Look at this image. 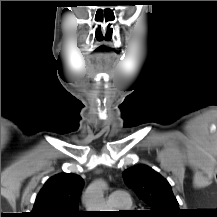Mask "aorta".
<instances>
[{"mask_svg": "<svg viewBox=\"0 0 217 217\" xmlns=\"http://www.w3.org/2000/svg\"><path fill=\"white\" fill-rule=\"evenodd\" d=\"M106 184L102 180L92 182L83 195V203L87 211H108L104 199Z\"/></svg>", "mask_w": 217, "mask_h": 217, "instance_id": "aorta-1", "label": "aorta"}]
</instances>
